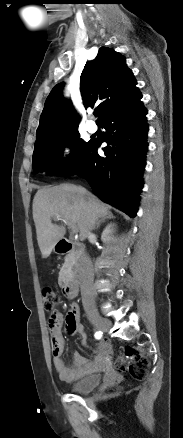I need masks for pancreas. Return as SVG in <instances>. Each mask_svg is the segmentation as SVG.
<instances>
[{"label": "pancreas", "instance_id": "pancreas-1", "mask_svg": "<svg viewBox=\"0 0 183 438\" xmlns=\"http://www.w3.org/2000/svg\"><path fill=\"white\" fill-rule=\"evenodd\" d=\"M73 264V259L71 257V255H68L65 258V263L63 264V267L60 270L59 273V282L62 283L64 281L65 278V274L67 273L68 268Z\"/></svg>", "mask_w": 183, "mask_h": 438}]
</instances>
